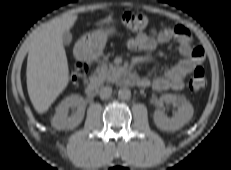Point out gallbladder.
Returning a JSON list of instances; mask_svg holds the SVG:
<instances>
[{
  "label": "gallbladder",
  "instance_id": "obj_1",
  "mask_svg": "<svg viewBox=\"0 0 231 170\" xmlns=\"http://www.w3.org/2000/svg\"><path fill=\"white\" fill-rule=\"evenodd\" d=\"M72 41V34L69 31H65L62 36V42L64 45H69Z\"/></svg>",
  "mask_w": 231,
  "mask_h": 170
}]
</instances>
